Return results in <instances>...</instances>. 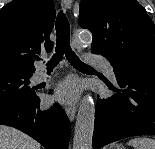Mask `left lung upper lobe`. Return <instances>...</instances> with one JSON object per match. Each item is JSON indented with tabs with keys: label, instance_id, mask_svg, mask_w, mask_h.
Instances as JSON below:
<instances>
[{
	"label": "left lung upper lobe",
	"instance_id": "left-lung-upper-lobe-1",
	"mask_svg": "<svg viewBox=\"0 0 155 149\" xmlns=\"http://www.w3.org/2000/svg\"><path fill=\"white\" fill-rule=\"evenodd\" d=\"M79 25L92 32V52L114 59L155 58V26L136 0H82Z\"/></svg>",
	"mask_w": 155,
	"mask_h": 149
}]
</instances>
